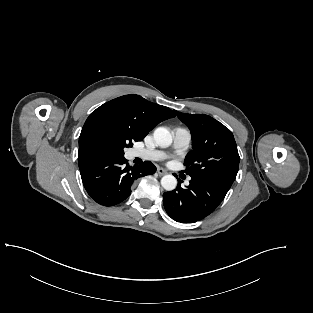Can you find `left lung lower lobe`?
I'll use <instances>...</instances> for the list:
<instances>
[{
  "mask_svg": "<svg viewBox=\"0 0 313 313\" xmlns=\"http://www.w3.org/2000/svg\"><path fill=\"white\" fill-rule=\"evenodd\" d=\"M178 186L163 194L167 214L177 222L194 223L212 213L222 202L229 186L208 179L191 178L186 188Z\"/></svg>",
  "mask_w": 313,
  "mask_h": 313,
  "instance_id": "0a47b994",
  "label": "left lung lower lobe"
}]
</instances>
